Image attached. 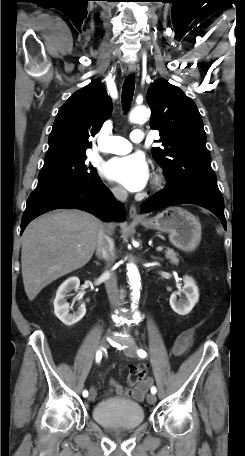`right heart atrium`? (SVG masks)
Listing matches in <instances>:
<instances>
[{
    "label": "right heart atrium",
    "instance_id": "obj_1",
    "mask_svg": "<svg viewBox=\"0 0 245 456\" xmlns=\"http://www.w3.org/2000/svg\"><path fill=\"white\" fill-rule=\"evenodd\" d=\"M111 192L115 197H122L124 194V191L120 187H112Z\"/></svg>",
    "mask_w": 245,
    "mask_h": 456
}]
</instances>
